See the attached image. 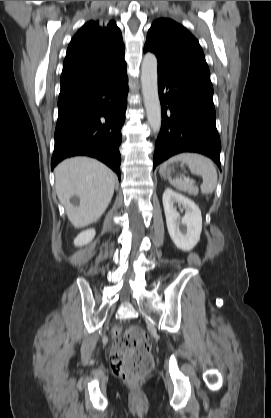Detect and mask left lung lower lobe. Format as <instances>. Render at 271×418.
<instances>
[{"instance_id":"0a47b994","label":"left lung lower lobe","mask_w":271,"mask_h":418,"mask_svg":"<svg viewBox=\"0 0 271 418\" xmlns=\"http://www.w3.org/2000/svg\"><path fill=\"white\" fill-rule=\"evenodd\" d=\"M146 51L150 50L144 48ZM158 91L162 126L155 144L154 168L175 154L196 152L212 158L221 169L210 79L158 59Z\"/></svg>"}]
</instances>
